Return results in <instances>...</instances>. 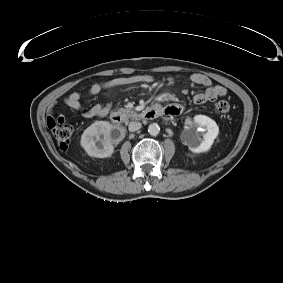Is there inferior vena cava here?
Here are the masks:
<instances>
[{
  "instance_id": "obj_1",
  "label": "inferior vena cava",
  "mask_w": 283,
  "mask_h": 283,
  "mask_svg": "<svg viewBox=\"0 0 283 283\" xmlns=\"http://www.w3.org/2000/svg\"><path fill=\"white\" fill-rule=\"evenodd\" d=\"M142 124L140 122H130L128 125V129L130 132L137 131L141 128Z\"/></svg>"
}]
</instances>
